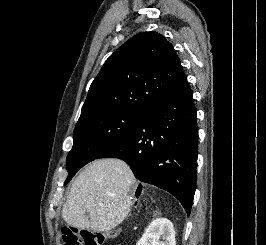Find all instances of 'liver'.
<instances>
[{
  "instance_id": "6515ba94",
  "label": "liver",
  "mask_w": 266,
  "mask_h": 245,
  "mask_svg": "<svg viewBox=\"0 0 266 245\" xmlns=\"http://www.w3.org/2000/svg\"><path fill=\"white\" fill-rule=\"evenodd\" d=\"M135 183L124 161H93L75 179L63 205V221L76 229H92L98 233L112 231L130 213L131 187Z\"/></svg>"
}]
</instances>
